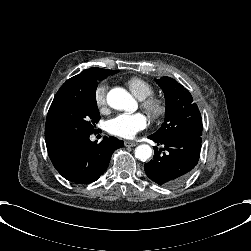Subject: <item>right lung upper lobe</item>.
<instances>
[{
	"label": "right lung upper lobe",
	"instance_id": "right-lung-upper-lobe-1",
	"mask_svg": "<svg viewBox=\"0 0 251 251\" xmlns=\"http://www.w3.org/2000/svg\"><path fill=\"white\" fill-rule=\"evenodd\" d=\"M102 70L101 68H97V67H92L90 69H86L84 71H82L80 74L68 79L58 90L57 93L63 92L65 90H69L72 89L76 86H78V84L81 82V80L83 79V77L85 75H87L88 73L91 72H97ZM45 141H46V146L47 149H51L53 147H56L58 145H60L61 143L65 142L62 141L61 139H59L54 132L52 131V129L49 127L48 123H46L45 126Z\"/></svg>",
	"mask_w": 251,
	"mask_h": 251
}]
</instances>
